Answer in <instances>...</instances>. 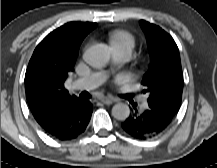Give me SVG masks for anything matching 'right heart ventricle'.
Returning <instances> with one entry per match:
<instances>
[{"mask_svg":"<svg viewBox=\"0 0 217 168\" xmlns=\"http://www.w3.org/2000/svg\"><path fill=\"white\" fill-rule=\"evenodd\" d=\"M109 42L111 46H120L123 49L127 50L130 54L134 48V39L133 37L124 31L115 30L110 34Z\"/></svg>","mask_w":217,"mask_h":168,"instance_id":"obj_1","label":"right heart ventricle"}]
</instances>
